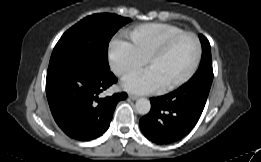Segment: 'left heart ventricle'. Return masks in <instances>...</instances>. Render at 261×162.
Segmentation results:
<instances>
[{"instance_id":"b2bd125f","label":"left heart ventricle","mask_w":261,"mask_h":162,"mask_svg":"<svg viewBox=\"0 0 261 162\" xmlns=\"http://www.w3.org/2000/svg\"><path fill=\"white\" fill-rule=\"evenodd\" d=\"M196 55V44L192 37L177 40L162 56L148 64L162 86L169 85L183 77L191 68Z\"/></svg>"}]
</instances>
